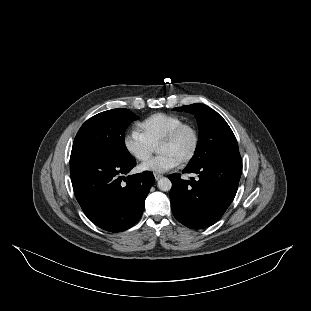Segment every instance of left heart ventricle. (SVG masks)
Instances as JSON below:
<instances>
[{
	"label": "left heart ventricle",
	"instance_id": "left-heart-ventricle-1",
	"mask_svg": "<svg viewBox=\"0 0 311 311\" xmlns=\"http://www.w3.org/2000/svg\"><path fill=\"white\" fill-rule=\"evenodd\" d=\"M194 133L192 130H185L179 139L171 144H160L157 146L159 153H171L182 161L191 152L194 145Z\"/></svg>",
	"mask_w": 311,
	"mask_h": 311
}]
</instances>
